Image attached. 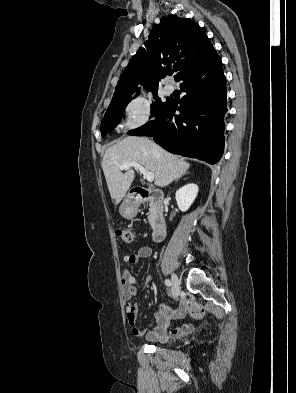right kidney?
Wrapping results in <instances>:
<instances>
[{
    "label": "right kidney",
    "mask_w": 296,
    "mask_h": 393,
    "mask_svg": "<svg viewBox=\"0 0 296 393\" xmlns=\"http://www.w3.org/2000/svg\"><path fill=\"white\" fill-rule=\"evenodd\" d=\"M198 191L199 188L196 184L189 183L176 192V202L182 212H186L190 208L197 197Z\"/></svg>",
    "instance_id": "1"
}]
</instances>
